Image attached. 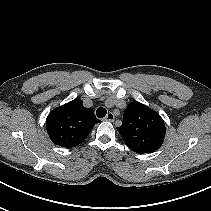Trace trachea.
Instances as JSON below:
<instances>
[{"label": "trachea", "instance_id": "trachea-1", "mask_svg": "<svg viewBox=\"0 0 211 211\" xmlns=\"http://www.w3.org/2000/svg\"><path fill=\"white\" fill-rule=\"evenodd\" d=\"M106 113H107V110L102 107H100L96 110V115L98 118H103L106 115Z\"/></svg>", "mask_w": 211, "mask_h": 211}]
</instances>
